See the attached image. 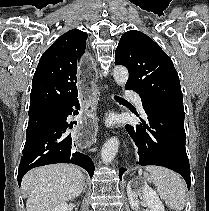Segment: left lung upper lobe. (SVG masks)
I'll use <instances>...</instances> for the list:
<instances>
[{"mask_svg": "<svg viewBox=\"0 0 209 211\" xmlns=\"http://www.w3.org/2000/svg\"><path fill=\"white\" fill-rule=\"evenodd\" d=\"M115 64L128 68L126 88L136 91L143 103L183 106L179 77L171 59L142 32L124 33L115 52Z\"/></svg>", "mask_w": 209, "mask_h": 211, "instance_id": "1", "label": "left lung upper lobe"}]
</instances>
